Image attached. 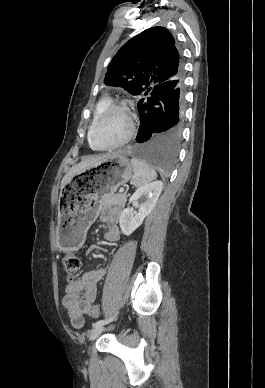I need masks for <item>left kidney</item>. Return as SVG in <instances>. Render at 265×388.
Returning a JSON list of instances; mask_svg holds the SVG:
<instances>
[{"label": "left kidney", "instance_id": "1", "mask_svg": "<svg viewBox=\"0 0 265 388\" xmlns=\"http://www.w3.org/2000/svg\"><path fill=\"white\" fill-rule=\"evenodd\" d=\"M162 186V182H152V184H146L143 188H139L131 196L130 204H137L139 210L138 214H134L130 208L123 210L120 216V228L125 236H130L134 230H137L143 224L144 218L152 212L162 192Z\"/></svg>", "mask_w": 265, "mask_h": 388}]
</instances>
